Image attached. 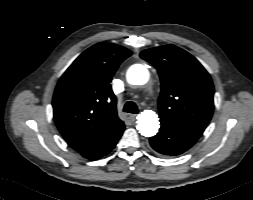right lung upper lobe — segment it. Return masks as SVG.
I'll use <instances>...</instances> for the list:
<instances>
[{"instance_id":"right-lung-upper-lobe-1","label":"right lung upper lobe","mask_w":253,"mask_h":200,"mask_svg":"<svg viewBox=\"0 0 253 200\" xmlns=\"http://www.w3.org/2000/svg\"><path fill=\"white\" fill-rule=\"evenodd\" d=\"M132 52L100 42L83 52L60 78L53 96L54 120L78 152L104 143L124 128L110 82Z\"/></svg>"}]
</instances>
